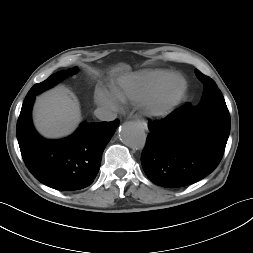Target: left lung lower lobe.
Listing matches in <instances>:
<instances>
[{
  "mask_svg": "<svg viewBox=\"0 0 253 253\" xmlns=\"http://www.w3.org/2000/svg\"><path fill=\"white\" fill-rule=\"evenodd\" d=\"M141 163L147 177L163 187L193 184L219 164L230 133L224 102L187 103L161 121L149 124Z\"/></svg>",
  "mask_w": 253,
  "mask_h": 253,
  "instance_id": "0a47b994",
  "label": "left lung lower lobe"
}]
</instances>
